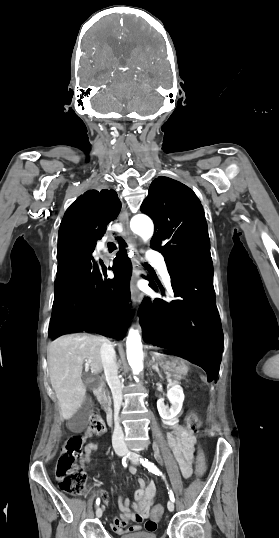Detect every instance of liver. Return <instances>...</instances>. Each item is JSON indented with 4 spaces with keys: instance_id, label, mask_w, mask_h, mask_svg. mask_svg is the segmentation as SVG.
I'll list each match as a JSON object with an SVG mask.
<instances>
[{
    "instance_id": "obj_1",
    "label": "liver",
    "mask_w": 279,
    "mask_h": 538,
    "mask_svg": "<svg viewBox=\"0 0 279 538\" xmlns=\"http://www.w3.org/2000/svg\"><path fill=\"white\" fill-rule=\"evenodd\" d=\"M103 342H107L106 338L90 334H69L49 344V376L63 420H70L85 400L86 386L81 380L84 360H90L93 374L102 372L100 348Z\"/></svg>"
}]
</instances>
